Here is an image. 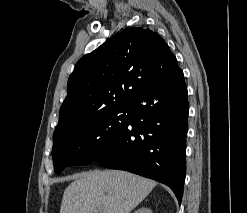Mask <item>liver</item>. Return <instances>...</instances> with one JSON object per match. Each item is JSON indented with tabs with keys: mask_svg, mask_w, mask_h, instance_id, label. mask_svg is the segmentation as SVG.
Here are the masks:
<instances>
[{
	"mask_svg": "<svg viewBox=\"0 0 247 213\" xmlns=\"http://www.w3.org/2000/svg\"><path fill=\"white\" fill-rule=\"evenodd\" d=\"M63 194L60 213H129L156 182L120 170L77 174Z\"/></svg>",
	"mask_w": 247,
	"mask_h": 213,
	"instance_id": "6515ba94",
	"label": "liver"
}]
</instances>
